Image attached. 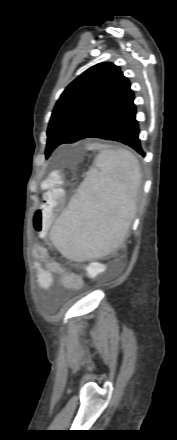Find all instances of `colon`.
I'll use <instances>...</instances> for the list:
<instances>
[{"mask_svg": "<svg viewBox=\"0 0 177 440\" xmlns=\"http://www.w3.org/2000/svg\"><path fill=\"white\" fill-rule=\"evenodd\" d=\"M63 174L60 170H53L44 183L45 193L43 205L35 212L33 225L37 231L44 233L51 224L52 218L63 206L64 194L61 189ZM75 274H70V279Z\"/></svg>", "mask_w": 177, "mask_h": 440, "instance_id": "5ec220e1", "label": "colon"}]
</instances>
